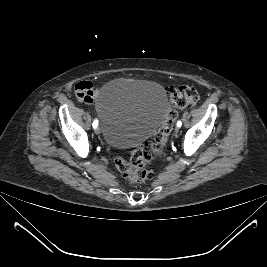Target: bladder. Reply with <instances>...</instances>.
<instances>
[{"label":"bladder","instance_id":"bladder-1","mask_svg":"<svg viewBox=\"0 0 267 267\" xmlns=\"http://www.w3.org/2000/svg\"><path fill=\"white\" fill-rule=\"evenodd\" d=\"M168 108L166 91L150 81L114 79L96 98L103 137L120 149L142 143L164 120Z\"/></svg>","mask_w":267,"mask_h":267}]
</instances>
